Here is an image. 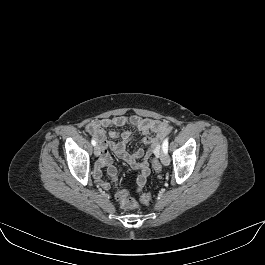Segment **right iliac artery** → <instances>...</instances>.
Segmentation results:
<instances>
[{"label": "right iliac artery", "mask_w": 265, "mask_h": 265, "mask_svg": "<svg viewBox=\"0 0 265 265\" xmlns=\"http://www.w3.org/2000/svg\"><path fill=\"white\" fill-rule=\"evenodd\" d=\"M91 144H92L93 146H95V145H96V141H95L94 139H92V140H91Z\"/></svg>", "instance_id": "1"}]
</instances>
